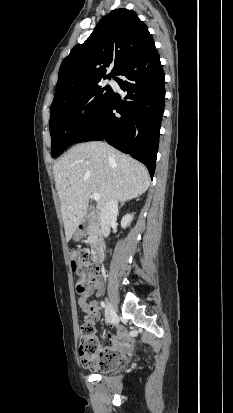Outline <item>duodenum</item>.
Here are the masks:
<instances>
[{"label":"duodenum","instance_id":"410a0bca","mask_svg":"<svg viewBox=\"0 0 233 413\" xmlns=\"http://www.w3.org/2000/svg\"><path fill=\"white\" fill-rule=\"evenodd\" d=\"M89 231V225L82 223L80 225L81 234H86ZM92 255L96 261H101L104 256V246L101 241H97L92 248Z\"/></svg>","mask_w":233,"mask_h":413}]
</instances>
